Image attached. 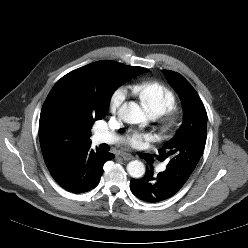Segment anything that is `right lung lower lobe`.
<instances>
[{"label": "right lung lower lobe", "instance_id": "98d812e1", "mask_svg": "<svg viewBox=\"0 0 248 248\" xmlns=\"http://www.w3.org/2000/svg\"><path fill=\"white\" fill-rule=\"evenodd\" d=\"M114 158L112 153H104L90 146L81 149L55 171L50 172L55 181L72 193H84L95 188L103 174V165Z\"/></svg>", "mask_w": 248, "mask_h": 248}]
</instances>
